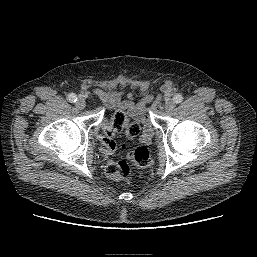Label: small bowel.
I'll list each match as a JSON object with an SVG mask.
<instances>
[{"instance_id": "small-bowel-1", "label": "small bowel", "mask_w": 257, "mask_h": 257, "mask_svg": "<svg viewBox=\"0 0 257 257\" xmlns=\"http://www.w3.org/2000/svg\"><path fill=\"white\" fill-rule=\"evenodd\" d=\"M166 87L169 85L166 84ZM93 92L103 101L106 107L112 111L125 110L128 118L132 119L139 126L142 125V133L139 136L140 142L148 144L153 137V125L148 116L147 109L143 100H137L132 93H127L128 100L123 101L125 94L120 91L106 93L100 89Z\"/></svg>"}]
</instances>
